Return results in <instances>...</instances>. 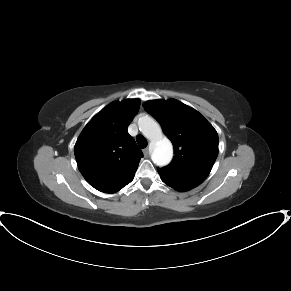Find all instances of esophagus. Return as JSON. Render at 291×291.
I'll return each instance as SVG.
<instances>
[{
    "mask_svg": "<svg viewBox=\"0 0 291 291\" xmlns=\"http://www.w3.org/2000/svg\"><path fill=\"white\" fill-rule=\"evenodd\" d=\"M143 153H144V156H145V157H148V155H149V150L146 148V149L143 150Z\"/></svg>",
    "mask_w": 291,
    "mask_h": 291,
    "instance_id": "esophagus-1",
    "label": "esophagus"
}]
</instances>
